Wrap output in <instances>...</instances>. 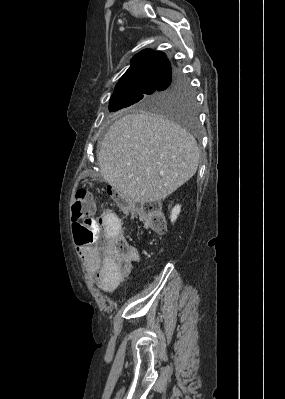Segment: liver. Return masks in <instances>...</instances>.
Here are the masks:
<instances>
[{
  "label": "liver",
  "mask_w": 285,
  "mask_h": 399,
  "mask_svg": "<svg viewBox=\"0 0 285 399\" xmlns=\"http://www.w3.org/2000/svg\"><path fill=\"white\" fill-rule=\"evenodd\" d=\"M199 157L191 134L150 112L116 120L97 153L104 180L127 201L141 204L165 199L187 182Z\"/></svg>",
  "instance_id": "obj_1"
}]
</instances>
